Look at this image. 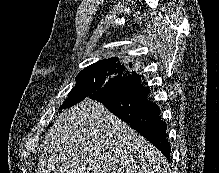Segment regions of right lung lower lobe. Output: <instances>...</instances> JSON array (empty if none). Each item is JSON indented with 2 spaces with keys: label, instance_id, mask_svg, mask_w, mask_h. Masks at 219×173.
<instances>
[{
  "label": "right lung lower lobe",
  "instance_id": "98d812e1",
  "mask_svg": "<svg viewBox=\"0 0 219 173\" xmlns=\"http://www.w3.org/2000/svg\"><path fill=\"white\" fill-rule=\"evenodd\" d=\"M148 93L149 88L143 86L141 76L133 72L125 78L124 84L117 91L93 94L89 98L101 102L170 159L171 147L166 139L167 125L159 116V107L148 100Z\"/></svg>",
  "mask_w": 219,
  "mask_h": 173
}]
</instances>
